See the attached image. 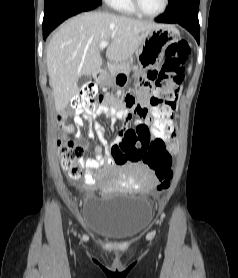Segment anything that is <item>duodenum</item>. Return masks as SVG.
<instances>
[{"label":"duodenum","instance_id":"1","mask_svg":"<svg viewBox=\"0 0 238 278\" xmlns=\"http://www.w3.org/2000/svg\"><path fill=\"white\" fill-rule=\"evenodd\" d=\"M95 77L98 81H103V79L105 77L104 71L102 69H99L98 71H96Z\"/></svg>","mask_w":238,"mask_h":278}]
</instances>
